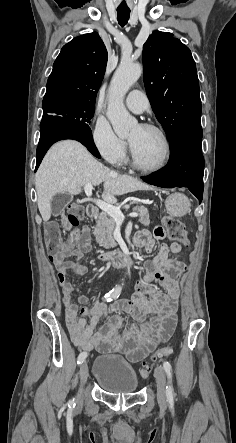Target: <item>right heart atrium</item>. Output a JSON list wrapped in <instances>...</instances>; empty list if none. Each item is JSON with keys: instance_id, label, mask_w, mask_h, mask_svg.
<instances>
[{"instance_id": "1", "label": "right heart atrium", "mask_w": 236, "mask_h": 443, "mask_svg": "<svg viewBox=\"0 0 236 443\" xmlns=\"http://www.w3.org/2000/svg\"><path fill=\"white\" fill-rule=\"evenodd\" d=\"M90 135L96 150L108 163L121 166L126 161L127 143L115 134L105 118H93Z\"/></svg>"}]
</instances>
